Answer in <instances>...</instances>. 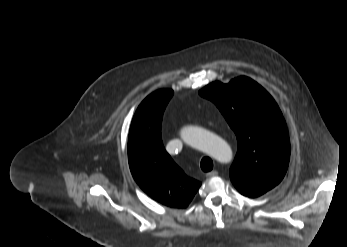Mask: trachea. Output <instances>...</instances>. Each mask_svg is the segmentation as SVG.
Returning <instances> with one entry per match:
<instances>
[{
  "label": "trachea",
  "mask_w": 347,
  "mask_h": 247,
  "mask_svg": "<svg viewBox=\"0 0 347 247\" xmlns=\"http://www.w3.org/2000/svg\"><path fill=\"white\" fill-rule=\"evenodd\" d=\"M200 166L204 172H209L213 169V162H212L211 158L204 157V158H202V160L200 162Z\"/></svg>",
  "instance_id": "1"
}]
</instances>
